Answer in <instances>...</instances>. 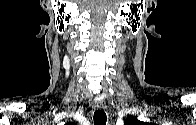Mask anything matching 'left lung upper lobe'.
I'll return each mask as SVG.
<instances>
[{"label": "left lung upper lobe", "instance_id": "left-lung-upper-lobe-1", "mask_svg": "<svg viewBox=\"0 0 196 125\" xmlns=\"http://www.w3.org/2000/svg\"><path fill=\"white\" fill-rule=\"evenodd\" d=\"M143 122L139 121L137 118L129 117L125 120L124 125H140Z\"/></svg>", "mask_w": 196, "mask_h": 125}]
</instances>
